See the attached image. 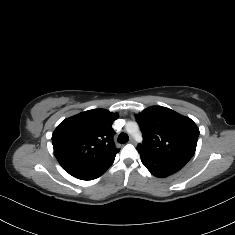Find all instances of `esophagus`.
<instances>
[{
    "mask_svg": "<svg viewBox=\"0 0 235 235\" xmlns=\"http://www.w3.org/2000/svg\"><path fill=\"white\" fill-rule=\"evenodd\" d=\"M129 143H135V139L132 136L129 139Z\"/></svg>",
    "mask_w": 235,
    "mask_h": 235,
    "instance_id": "obj_1",
    "label": "esophagus"
}]
</instances>
